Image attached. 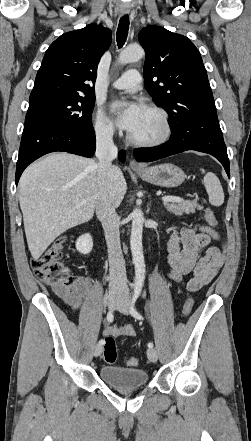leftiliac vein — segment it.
Here are the masks:
<instances>
[{"mask_svg": "<svg viewBox=\"0 0 251 441\" xmlns=\"http://www.w3.org/2000/svg\"><path fill=\"white\" fill-rule=\"evenodd\" d=\"M131 304L129 296L126 294L124 295L119 303L117 304V310L121 313L128 315L130 313ZM147 357L151 362H156L158 360V353L154 348H149L147 350Z\"/></svg>", "mask_w": 251, "mask_h": 441, "instance_id": "4c4485c4", "label": "left iliac vein"}]
</instances>
